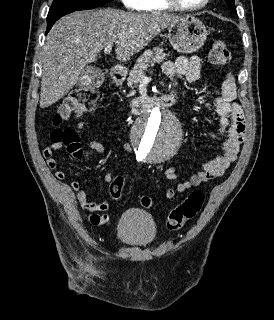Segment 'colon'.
Returning <instances> with one entry per match:
<instances>
[{
  "instance_id": "obj_1",
  "label": "colon",
  "mask_w": 274,
  "mask_h": 320,
  "mask_svg": "<svg viewBox=\"0 0 274 320\" xmlns=\"http://www.w3.org/2000/svg\"><path fill=\"white\" fill-rule=\"evenodd\" d=\"M209 61L217 67H225L231 63L232 55L228 46L223 41L213 43L209 55ZM98 101V92L90 88H79L69 92L63 104L55 111L51 118L52 129L50 132V143H58L71 152L79 153L82 149L80 136L71 127L63 125L70 118L83 115L92 111ZM118 181V182H117ZM117 181L108 182L107 188L111 193H121L125 187L124 176L118 175ZM205 201V194L201 190H192L189 196L174 207L168 216L167 227L175 231L181 228L185 222L194 219L201 210ZM148 204V199H143Z\"/></svg>"
}]
</instances>
